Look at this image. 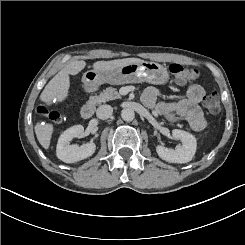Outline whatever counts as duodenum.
I'll return each instance as SVG.
<instances>
[{"label":"duodenum","instance_id":"obj_1","mask_svg":"<svg viewBox=\"0 0 245 245\" xmlns=\"http://www.w3.org/2000/svg\"><path fill=\"white\" fill-rule=\"evenodd\" d=\"M94 111H95L94 103L88 102L85 105H83V107L81 109V116L84 119H89L93 116Z\"/></svg>","mask_w":245,"mask_h":245}]
</instances>
